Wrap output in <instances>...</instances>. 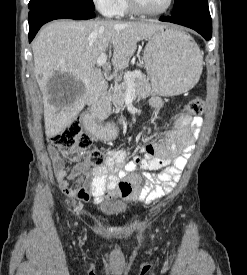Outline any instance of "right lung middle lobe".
Returning <instances> with one entry per match:
<instances>
[{"instance_id": "right-lung-middle-lobe-1", "label": "right lung middle lobe", "mask_w": 247, "mask_h": 275, "mask_svg": "<svg viewBox=\"0 0 247 275\" xmlns=\"http://www.w3.org/2000/svg\"><path fill=\"white\" fill-rule=\"evenodd\" d=\"M47 5H65L72 8L94 11L92 0H30L29 9H35Z\"/></svg>"}]
</instances>
